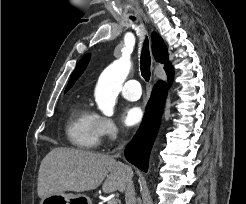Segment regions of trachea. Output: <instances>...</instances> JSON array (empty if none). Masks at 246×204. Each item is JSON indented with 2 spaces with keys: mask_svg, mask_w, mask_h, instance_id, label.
I'll return each mask as SVG.
<instances>
[{
  "mask_svg": "<svg viewBox=\"0 0 246 204\" xmlns=\"http://www.w3.org/2000/svg\"><path fill=\"white\" fill-rule=\"evenodd\" d=\"M150 65H151V57L149 52V43H148V38H146L141 52V66H140L141 75L146 81H149L150 79V75H151Z\"/></svg>",
  "mask_w": 246,
  "mask_h": 204,
  "instance_id": "1",
  "label": "trachea"
}]
</instances>
